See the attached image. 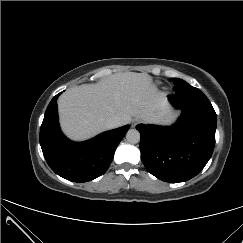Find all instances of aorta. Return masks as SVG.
I'll use <instances>...</instances> for the list:
<instances>
[{
    "instance_id": "762f6f07",
    "label": "aorta",
    "mask_w": 243,
    "mask_h": 243,
    "mask_svg": "<svg viewBox=\"0 0 243 243\" xmlns=\"http://www.w3.org/2000/svg\"><path fill=\"white\" fill-rule=\"evenodd\" d=\"M126 140L131 144H136L140 141V133L136 129H130L126 134Z\"/></svg>"
}]
</instances>
